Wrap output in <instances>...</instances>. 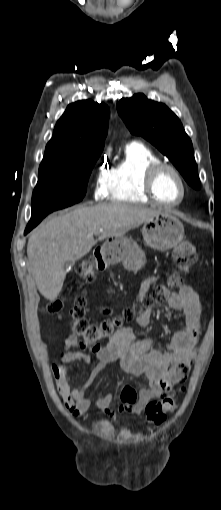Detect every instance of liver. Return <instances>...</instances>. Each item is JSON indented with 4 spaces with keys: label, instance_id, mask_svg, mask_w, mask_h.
I'll return each instance as SVG.
<instances>
[{
    "label": "liver",
    "instance_id": "1",
    "mask_svg": "<svg viewBox=\"0 0 221 510\" xmlns=\"http://www.w3.org/2000/svg\"><path fill=\"white\" fill-rule=\"evenodd\" d=\"M161 212L140 205L113 202L79 207L47 219L34 229L27 244L29 270L38 291L53 302L66 277L65 265L86 254L99 240L121 237ZM99 229H102L100 231Z\"/></svg>",
    "mask_w": 221,
    "mask_h": 510
}]
</instances>
